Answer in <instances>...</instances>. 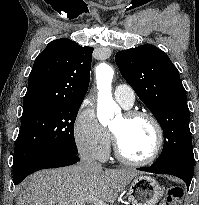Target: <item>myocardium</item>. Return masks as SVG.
<instances>
[{
  "label": "myocardium",
  "instance_id": "f54148a6",
  "mask_svg": "<svg viewBox=\"0 0 199 205\" xmlns=\"http://www.w3.org/2000/svg\"><path fill=\"white\" fill-rule=\"evenodd\" d=\"M123 115L127 119H134V118L147 119L152 124L155 131V145L153 151L148 157L144 159L129 158L122 152L118 138L115 132L111 130L114 153L116 158L119 161L123 162L124 164L131 165V166H144L154 162L160 155L164 146V132H163L162 125L152 113L145 110H128L124 112Z\"/></svg>",
  "mask_w": 199,
  "mask_h": 205
}]
</instances>
